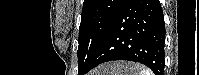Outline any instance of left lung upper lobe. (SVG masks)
Instances as JSON below:
<instances>
[{"instance_id": "1", "label": "left lung upper lobe", "mask_w": 199, "mask_h": 75, "mask_svg": "<svg viewBox=\"0 0 199 75\" xmlns=\"http://www.w3.org/2000/svg\"><path fill=\"white\" fill-rule=\"evenodd\" d=\"M123 1L84 0L78 38V75L91 64Z\"/></svg>"}]
</instances>
